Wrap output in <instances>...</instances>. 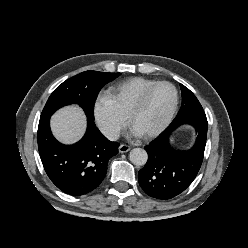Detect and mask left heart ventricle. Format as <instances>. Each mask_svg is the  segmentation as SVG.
Instances as JSON below:
<instances>
[{
  "mask_svg": "<svg viewBox=\"0 0 248 248\" xmlns=\"http://www.w3.org/2000/svg\"><path fill=\"white\" fill-rule=\"evenodd\" d=\"M174 101L173 90L166 86L155 88L143 109L133 119V129L141 135L147 134L167 118Z\"/></svg>",
  "mask_w": 248,
  "mask_h": 248,
  "instance_id": "left-heart-ventricle-1",
  "label": "left heart ventricle"
}]
</instances>
